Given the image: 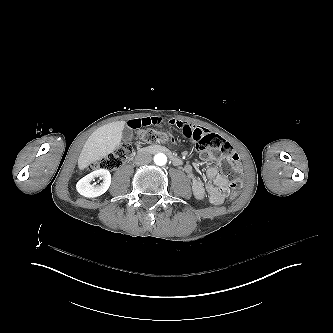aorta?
Listing matches in <instances>:
<instances>
[{
    "label": "aorta",
    "instance_id": "obj_1",
    "mask_svg": "<svg viewBox=\"0 0 333 333\" xmlns=\"http://www.w3.org/2000/svg\"><path fill=\"white\" fill-rule=\"evenodd\" d=\"M154 162L156 165L164 166L167 163V156L164 153H158L154 157Z\"/></svg>",
    "mask_w": 333,
    "mask_h": 333
}]
</instances>
